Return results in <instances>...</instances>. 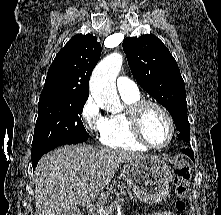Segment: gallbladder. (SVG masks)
Wrapping results in <instances>:
<instances>
[{
  "label": "gallbladder",
  "instance_id": "bac80fb5",
  "mask_svg": "<svg viewBox=\"0 0 221 215\" xmlns=\"http://www.w3.org/2000/svg\"><path fill=\"white\" fill-rule=\"evenodd\" d=\"M64 215H81L79 208L75 206H71L70 209L68 210L67 214Z\"/></svg>",
  "mask_w": 221,
  "mask_h": 215
}]
</instances>
